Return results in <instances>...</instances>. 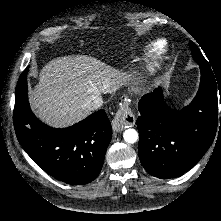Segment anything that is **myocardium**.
Returning a JSON list of instances; mask_svg holds the SVG:
<instances>
[{
  "mask_svg": "<svg viewBox=\"0 0 221 221\" xmlns=\"http://www.w3.org/2000/svg\"><path fill=\"white\" fill-rule=\"evenodd\" d=\"M169 51V43L164 40H158L154 43L150 50L151 61L150 64L152 67H157L159 62L165 57Z\"/></svg>",
  "mask_w": 221,
  "mask_h": 221,
  "instance_id": "f54148a6",
  "label": "myocardium"
}]
</instances>
